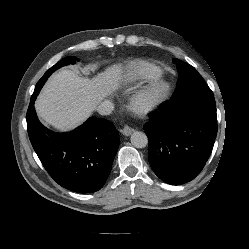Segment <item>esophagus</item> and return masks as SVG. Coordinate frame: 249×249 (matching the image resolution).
<instances>
[{
  "mask_svg": "<svg viewBox=\"0 0 249 249\" xmlns=\"http://www.w3.org/2000/svg\"><path fill=\"white\" fill-rule=\"evenodd\" d=\"M134 130H135L134 128L126 125L121 129V133L125 136H129L134 132Z\"/></svg>",
  "mask_w": 249,
  "mask_h": 249,
  "instance_id": "esophagus-1",
  "label": "esophagus"
}]
</instances>
